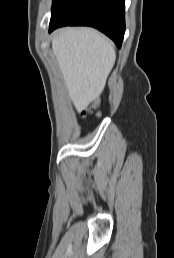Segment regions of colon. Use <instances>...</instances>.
<instances>
[{
	"instance_id": "obj_1",
	"label": "colon",
	"mask_w": 174,
	"mask_h": 258,
	"mask_svg": "<svg viewBox=\"0 0 174 258\" xmlns=\"http://www.w3.org/2000/svg\"><path fill=\"white\" fill-rule=\"evenodd\" d=\"M97 108H98V104L97 103H94L92 104L89 108H86L82 111V115L83 116H87L88 114H91L93 112H96L97 111Z\"/></svg>"
}]
</instances>
